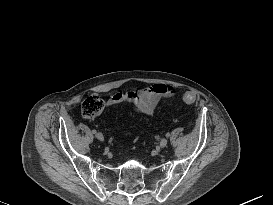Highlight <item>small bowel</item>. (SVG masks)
Listing matches in <instances>:
<instances>
[{
	"label": "small bowel",
	"mask_w": 273,
	"mask_h": 205,
	"mask_svg": "<svg viewBox=\"0 0 273 205\" xmlns=\"http://www.w3.org/2000/svg\"><path fill=\"white\" fill-rule=\"evenodd\" d=\"M174 88L165 84H153L140 90L129 89L116 92L106 102L112 107L123 102H131L135 105L134 111L140 115H152L157 104L164 98L174 95Z\"/></svg>",
	"instance_id": "small-bowel-1"
}]
</instances>
